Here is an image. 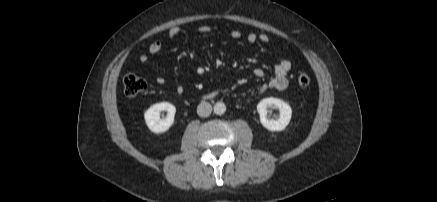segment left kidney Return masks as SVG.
I'll list each match as a JSON object with an SVG mask.
<instances>
[{
	"label": "left kidney",
	"instance_id": "obj_1",
	"mask_svg": "<svg viewBox=\"0 0 437 202\" xmlns=\"http://www.w3.org/2000/svg\"><path fill=\"white\" fill-rule=\"evenodd\" d=\"M268 109H278L279 116L268 115ZM257 111L260 115L261 124L270 131H282L289 124L292 109L289 104L278 98H265L257 105Z\"/></svg>",
	"mask_w": 437,
	"mask_h": 202
}]
</instances>
